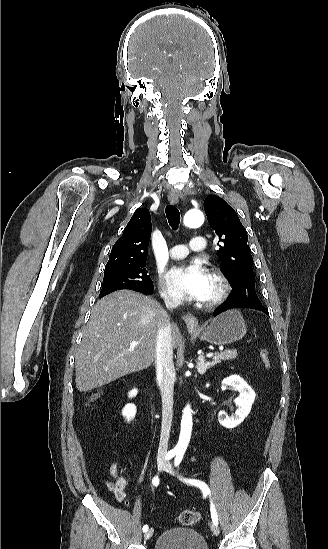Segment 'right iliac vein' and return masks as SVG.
<instances>
[{
    "label": "right iliac vein",
    "mask_w": 328,
    "mask_h": 549,
    "mask_svg": "<svg viewBox=\"0 0 328 549\" xmlns=\"http://www.w3.org/2000/svg\"><path fill=\"white\" fill-rule=\"evenodd\" d=\"M163 466H164V462H163V460H160L159 465H158V468H159V469H162ZM153 532H154L153 528H150L149 530H147L146 533H145V535H144V539H145V540H149V539L152 537Z\"/></svg>",
    "instance_id": "63e3f726"
}]
</instances>
